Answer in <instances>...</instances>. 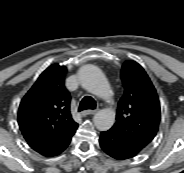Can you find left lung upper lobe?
<instances>
[{"instance_id": "5c2ea615", "label": "left lung upper lobe", "mask_w": 184, "mask_h": 173, "mask_svg": "<svg viewBox=\"0 0 184 173\" xmlns=\"http://www.w3.org/2000/svg\"><path fill=\"white\" fill-rule=\"evenodd\" d=\"M121 78L125 91L111 130L141 152L158 131L159 99L148 75L135 61L124 63Z\"/></svg>"}]
</instances>
